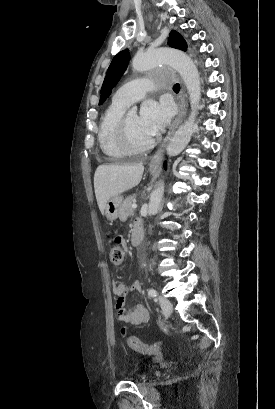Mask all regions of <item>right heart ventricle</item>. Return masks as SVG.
I'll return each instance as SVG.
<instances>
[{
  "label": "right heart ventricle",
  "mask_w": 275,
  "mask_h": 409,
  "mask_svg": "<svg viewBox=\"0 0 275 409\" xmlns=\"http://www.w3.org/2000/svg\"><path fill=\"white\" fill-rule=\"evenodd\" d=\"M125 110L126 108L112 103L101 118L97 139L105 157H124L127 155L119 137V124Z\"/></svg>",
  "instance_id": "e07e8e85"
}]
</instances>
